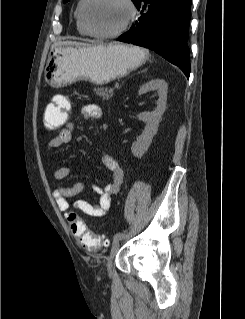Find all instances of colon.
<instances>
[{"label": "colon", "instance_id": "obj_1", "mask_svg": "<svg viewBox=\"0 0 245 319\" xmlns=\"http://www.w3.org/2000/svg\"><path fill=\"white\" fill-rule=\"evenodd\" d=\"M68 113V101L64 97H58L54 104L47 107L44 114V124L48 130L60 128L66 121ZM68 222L72 234L78 243L85 249L98 250L106 241L101 235H97L88 230L84 222L75 212H70Z\"/></svg>", "mask_w": 245, "mask_h": 319}]
</instances>
